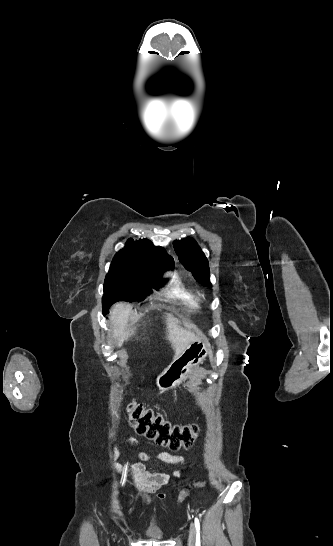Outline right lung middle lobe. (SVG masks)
<instances>
[{"label":"right lung middle lobe","mask_w":333,"mask_h":546,"mask_svg":"<svg viewBox=\"0 0 333 546\" xmlns=\"http://www.w3.org/2000/svg\"><path fill=\"white\" fill-rule=\"evenodd\" d=\"M174 265L160 264L158 272L154 275L129 272L122 265L111 263L110 270L105 278L104 295L102 298L103 312L108 313L109 307L117 301L132 302L140 300L151 288L158 289L161 286L159 272L171 269Z\"/></svg>","instance_id":"dd1d6c3e"}]
</instances>
